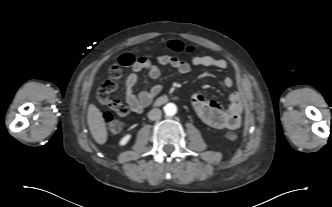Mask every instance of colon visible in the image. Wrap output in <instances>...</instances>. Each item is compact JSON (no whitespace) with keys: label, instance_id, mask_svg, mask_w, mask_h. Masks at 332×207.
<instances>
[{"label":"colon","instance_id":"obj_1","mask_svg":"<svg viewBox=\"0 0 332 207\" xmlns=\"http://www.w3.org/2000/svg\"><path fill=\"white\" fill-rule=\"evenodd\" d=\"M168 48L173 52L191 54L194 52V48L191 46H184L178 40H169L167 42ZM137 58L131 53H125L121 55L116 63H114L109 69V76L104 80L97 89V99L100 104L107 106L116 114L124 113L125 105L120 101L111 98V94L117 89L118 81L122 77L123 67H132ZM107 127L112 134L120 133L124 128V123L118 119H115L112 114H104ZM226 138L231 141L238 139V135L235 132L229 131L226 133Z\"/></svg>","mask_w":332,"mask_h":207}]
</instances>
